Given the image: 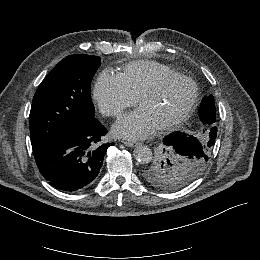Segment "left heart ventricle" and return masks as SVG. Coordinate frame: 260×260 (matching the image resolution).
<instances>
[{"instance_id": "left-heart-ventricle-1", "label": "left heart ventricle", "mask_w": 260, "mask_h": 260, "mask_svg": "<svg viewBox=\"0 0 260 260\" xmlns=\"http://www.w3.org/2000/svg\"><path fill=\"white\" fill-rule=\"evenodd\" d=\"M195 93L194 85L184 79L166 83L154 95L141 100L138 106L147 113L154 126L171 122L188 107Z\"/></svg>"}]
</instances>
